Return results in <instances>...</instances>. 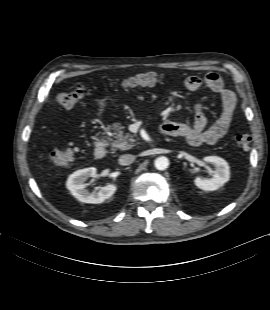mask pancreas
Here are the masks:
<instances>
[{
	"label": "pancreas",
	"mask_w": 270,
	"mask_h": 310,
	"mask_svg": "<svg viewBox=\"0 0 270 310\" xmlns=\"http://www.w3.org/2000/svg\"><path fill=\"white\" fill-rule=\"evenodd\" d=\"M108 129L112 131L113 139L111 142L112 150H128L134 146L136 142L134 136L129 132H124L125 126L120 123H114L108 126Z\"/></svg>",
	"instance_id": "pancreas-1"
}]
</instances>
